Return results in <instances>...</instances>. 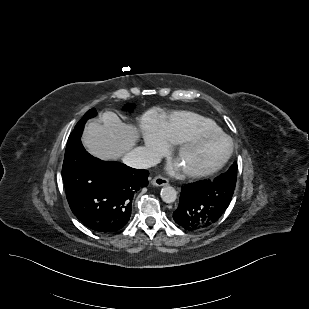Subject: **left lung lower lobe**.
I'll return each instance as SVG.
<instances>
[{
  "label": "left lung lower lobe",
  "instance_id": "left-lung-lower-lobe-1",
  "mask_svg": "<svg viewBox=\"0 0 309 309\" xmlns=\"http://www.w3.org/2000/svg\"><path fill=\"white\" fill-rule=\"evenodd\" d=\"M236 183L198 181L182 187L175 222L185 230L197 231L214 225L224 214L234 194Z\"/></svg>",
  "mask_w": 309,
  "mask_h": 309
}]
</instances>
